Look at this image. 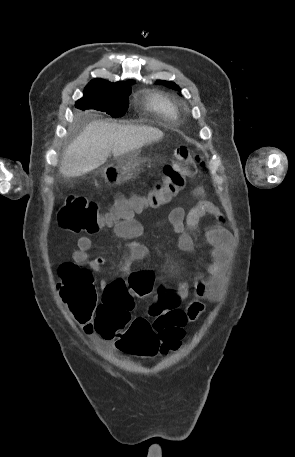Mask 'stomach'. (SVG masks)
Segmentation results:
<instances>
[{
  "instance_id": "0dacf381",
  "label": "stomach",
  "mask_w": 295,
  "mask_h": 457,
  "mask_svg": "<svg viewBox=\"0 0 295 457\" xmlns=\"http://www.w3.org/2000/svg\"><path fill=\"white\" fill-rule=\"evenodd\" d=\"M137 152H130L123 156V159L117 161L116 164H111L103 169L105 181L109 184H119L123 176H128L130 171L139 165Z\"/></svg>"
}]
</instances>
